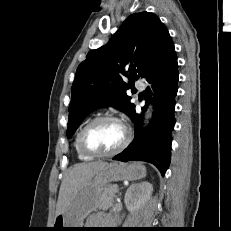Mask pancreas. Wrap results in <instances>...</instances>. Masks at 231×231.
<instances>
[{
    "label": "pancreas",
    "mask_w": 231,
    "mask_h": 231,
    "mask_svg": "<svg viewBox=\"0 0 231 231\" xmlns=\"http://www.w3.org/2000/svg\"><path fill=\"white\" fill-rule=\"evenodd\" d=\"M117 191H118V188L115 185H110L107 188H105L101 196L102 208H108L113 205L115 193Z\"/></svg>",
    "instance_id": "cf45deb5"
}]
</instances>
